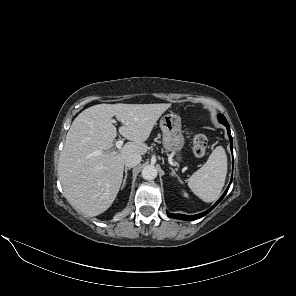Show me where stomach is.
Returning <instances> with one entry per match:
<instances>
[{"label":"stomach","instance_id":"1","mask_svg":"<svg viewBox=\"0 0 296 296\" xmlns=\"http://www.w3.org/2000/svg\"><path fill=\"white\" fill-rule=\"evenodd\" d=\"M181 127V118L174 113L166 114L160 120L163 147L166 151L177 154L179 160L185 142Z\"/></svg>","mask_w":296,"mask_h":296}]
</instances>
